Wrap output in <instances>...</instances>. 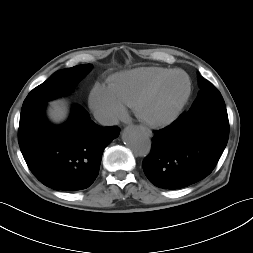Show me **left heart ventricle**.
<instances>
[{"mask_svg": "<svg viewBox=\"0 0 253 253\" xmlns=\"http://www.w3.org/2000/svg\"><path fill=\"white\" fill-rule=\"evenodd\" d=\"M186 90V78L181 74L173 76L150 99L147 113L156 118L167 116L182 99Z\"/></svg>", "mask_w": 253, "mask_h": 253, "instance_id": "left-heart-ventricle-1", "label": "left heart ventricle"}]
</instances>
